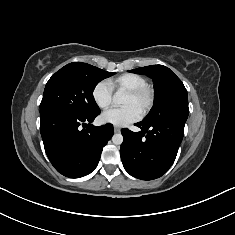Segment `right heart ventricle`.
Returning <instances> with one entry per match:
<instances>
[{
  "mask_svg": "<svg viewBox=\"0 0 235 235\" xmlns=\"http://www.w3.org/2000/svg\"><path fill=\"white\" fill-rule=\"evenodd\" d=\"M113 90L127 91L147 85L146 79L136 73H125L108 81Z\"/></svg>",
  "mask_w": 235,
  "mask_h": 235,
  "instance_id": "1",
  "label": "right heart ventricle"
}]
</instances>
